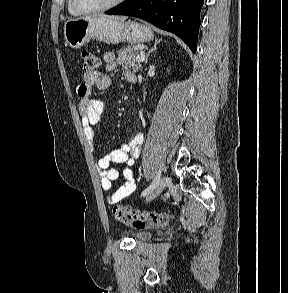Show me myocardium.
Returning <instances> with one entry per match:
<instances>
[{
	"instance_id": "obj_1",
	"label": "myocardium",
	"mask_w": 288,
	"mask_h": 293,
	"mask_svg": "<svg viewBox=\"0 0 288 293\" xmlns=\"http://www.w3.org/2000/svg\"><path fill=\"white\" fill-rule=\"evenodd\" d=\"M124 1L125 0H114L108 4H105V5L99 6V7H94V8H84L81 5H79L77 0H70V3L76 12H78L80 14H89V13L102 12V11L112 9V8L120 5Z\"/></svg>"
}]
</instances>
